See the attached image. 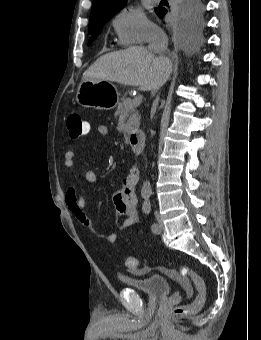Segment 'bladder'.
<instances>
[{
  "label": "bladder",
  "instance_id": "1",
  "mask_svg": "<svg viewBox=\"0 0 261 340\" xmlns=\"http://www.w3.org/2000/svg\"><path fill=\"white\" fill-rule=\"evenodd\" d=\"M118 279L127 287L154 298L167 297L171 289L170 281L158 274L140 278L120 275Z\"/></svg>",
  "mask_w": 261,
  "mask_h": 340
}]
</instances>
